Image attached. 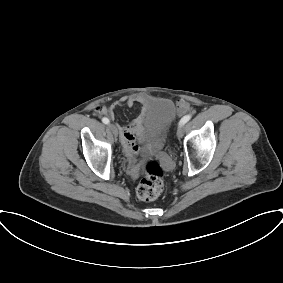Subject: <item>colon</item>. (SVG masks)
Listing matches in <instances>:
<instances>
[{"instance_id":"5ec220e1","label":"colon","mask_w":283,"mask_h":283,"mask_svg":"<svg viewBox=\"0 0 283 283\" xmlns=\"http://www.w3.org/2000/svg\"><path fill=\"white\" fill-rule=\"evenodd\" d=\"M164 170L156 161H148L137 187V195L143 201L157 199L164 189Z\"/></svg>"}]
</instances>
